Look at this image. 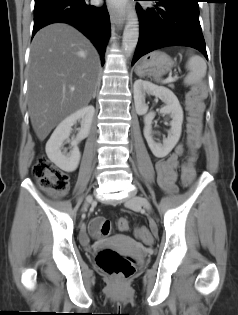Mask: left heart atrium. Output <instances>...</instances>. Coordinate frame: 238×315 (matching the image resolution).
<instances>
[{"label": "left heart atrium", "mask_w": 238, "mask_h": 315, "mask_svg": "<svg viewBox=\"0 0 238 315\" xmlns=\"http://www.w3.org/2000/svg\"><path fill=\"white\" fill-rule=\"evenodd\" d=\"M114 6H121L124 0H109Z\"/></svg>", "instance_id": "obj_1"}]
</instances>
